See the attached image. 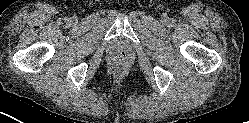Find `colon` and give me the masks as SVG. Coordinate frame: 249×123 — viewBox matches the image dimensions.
Returning a JSON list of instances; mask_svg holds the SVG:
<instances>
[{
  "instance_id": "1",
  "label": "colon",
  "mask_w": 249,
  "mask_h": 123,
  "mask_svg": "<svg viewBox=\"0 0 249 123\" xmlns=\"http://www.w3.org/2000/svg\"><path fill=\"white\" fill-rule=\"evenodd\" d=\"M127 62L126 55L123 52H116L112 57V64L114 67H123Z\"/></svg>"
}]
</instances>
